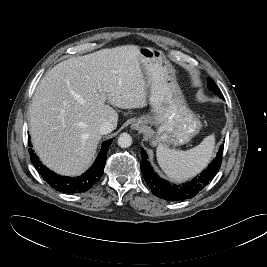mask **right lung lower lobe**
Wrapping results in <instances>:
<instances>
[{"mask_svg":"<svg viewBox=\"0 0 267 267\" xmlns=\"http://www.w3.org/2000/svg\"><path fill=\"white\" fill-rule=\"evenodd\" d=\"M111 142L112 139L102 144V149L93 166L86 173L78 177H65L53 173L38 161L37 156L31 148L29 149V152L35 168L52 188L63 193H79L87 191L94 183L100 180L106 163L108 147ZM29 147H31V144H29Z\"/></svg>","mask_w":267,"mask_h":267,"instance_id":"right-lung-lower-lobe-1","label":"right lung lower lobe"}]
</instances>
